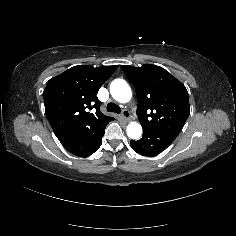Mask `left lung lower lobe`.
Masks as SVG:
<instances>
[{"label": "left lung lower lobe", "instance_id": "obj_1", "mask_svg": "<svg viewBox=\"0 0 236 236\" xmlns=\"http://www.w3.org/2000/svg\"><path fill=\"white\" fill-rule=\"evenodd\" d=\"M177 137V135L150 131L143 129V136L140 140H131L130 145L132 149L144 156H155L165 150Z\"/></svg>", "mask_w": 236, "mask_h": 236}]
</instances>
